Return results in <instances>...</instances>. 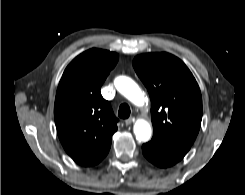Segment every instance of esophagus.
<instances>
[{
	"mask_svg": "<svg viewBox=\"0 0 245 195\" xmlns=\"http://www.w3.org/2000/svg\"><path fill=\"white\" fill-rule=\"evenodd\" d=\"M135 121L134 117H130L128 119L125 120V124L127 126L131 125L133 122Z\"/></svg>",
	"mask_w": 245,
	"mask_h": 195,
	"instance_id": "34e87169",
	"label": "esophagus"
}]
</instances>
